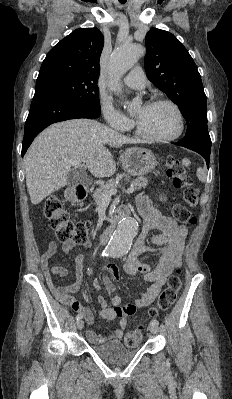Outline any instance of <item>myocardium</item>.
I'll return each instance as SVG.
<instances>
[{"instance_id": "f54148a6", "label": "myocardium", "mask_w": 232, "mask_h": 399, "mask_svg": "<svg viewBox=\"0 0 232 399\" xmlns=\"http://www.w3.org/2000/svg\"><path fill=\"white\" fill-rule=\"evenodd\" d=\"M156 105H169L176 111L177 116H178V123H179L177 131L173 135L166 136V137H152V136L147 135L145 132H143V130L140 128V126L136 120H132V125H133L136 135L140 139L150 142V143H167V142L176 140L177 138H179L182 135V133L184 132V129H185V118H184V114H183L181 108L173 101L166 100V99H152L145 104V106H147V107L156 106Z\"/></svg>"}]
</instances>
